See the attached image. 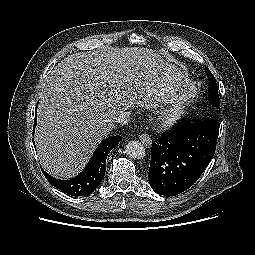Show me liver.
Instances as JSON below:
<instances>
[{
	"mask_svg": "<svg viewBox=\"0 0 255 255\" xmlns=\"http://www.w3.org/2000/svg\"><path fill=\"white\" fill-rule=\"evenodd\" d=\"M185 77L183 66L151 49L110 47L66 57L41 92L35 142L42 167L57 178L76 176L121 112L186 100Z\"/></svg>",
	"mask_w": 255,
	"mask_h": 255,
	"instance_id": "1",
	"label": "liver"
}]
</instances>
